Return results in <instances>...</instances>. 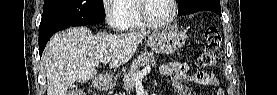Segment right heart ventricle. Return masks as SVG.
I'll use <instances>...</instances> for the list:
<instances>
[{
	"label": "right heart ventricle",
	"mask_w": 277,
	"mask_h": 95,
	"mask_svg": "<svg viewBox=\"0 0 277 95\" xmlns=\"http://www.w3.org/2000/svg\"><path fill=\"white\" fill-rule=\"evenodd\" d=\"M140 0H122L117 6L122 10L121 24L123 29L145 28L147 24L142 20L138 4Z\"/></svg>",
	"instance_id": "1"
}]
</instances>
